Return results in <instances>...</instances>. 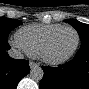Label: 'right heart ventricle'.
<instances>
[{"mask_svg":"<svg viewBox=\"0 0 89 89\" xmlns=\"http://www.w3.org/2000/svg\"><path fill=\"white\" fill-rule=\"evenodd\" d=\"M61 27L60 24H30L19 29L16 37L30 56L39 57L46 39Z\"/></svg>","mask_w":89,"mask_h":89,"instance_id":"obj_1","label":"right heart ventricle"}]
</instances>
